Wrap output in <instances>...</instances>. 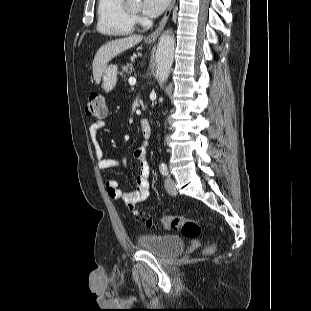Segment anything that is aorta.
<instances>
[{
	"instance_id": "obj_1",
	"label": "aorta",
	"mask_w": 311,
	"mask_h": 311,
	"mask_svg": "<svg viewBox=\"0 0 311 311\" xmlns=\"http://www.w3.org/2000/svg\"><path fill=\"white\" fill-rule=\"evenodd\" d=\"M175 38L169 32H164L158 41L156 50V75L158 77L159 84H163L167 81L170 69L174 60Z\"/></svg>"
}]
</instances>
